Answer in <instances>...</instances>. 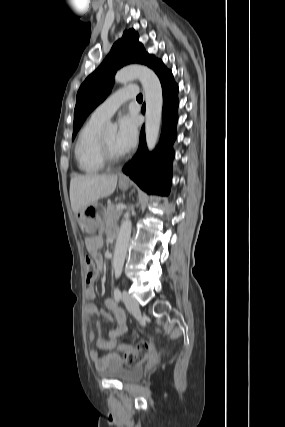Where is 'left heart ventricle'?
I'll list each match as a JSON object with an SVG mask.
<instances>
[{
	"instance_id": "b2bd125f",
	"label": "left heart ventricle",
	"mask_w": 285,
	"mask_h": 427,
	"mask_svg": "<svg viewBox=\"0 0 285 427\" xmlns=\"http://www.w3.org/2000/svg\"><path fill=\"white\" fill-rule=\"evenodd\" d=\"M116 135L117 133L115 131H110L104 134V138L113 154L122 155L124 153L118 148L116 144Z\"/></svg>"
}]
</instances>
